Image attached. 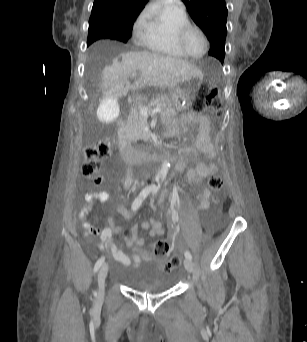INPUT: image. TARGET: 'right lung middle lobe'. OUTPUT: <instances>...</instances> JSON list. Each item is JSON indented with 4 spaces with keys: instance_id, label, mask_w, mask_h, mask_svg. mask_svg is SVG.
Listing matches in <instances>:
<instances>
[{
    "instance_id": "obj_1",
    "label": "right lung middle lobe",
    "mask_w": 307,
    "mask_h": 342,
    "mask_svg": "<svg viewBox=\"0 0 307 342\" xmlns=\"http://www.w3.org/2000/svg\"><path fill=\"white\" fill-rule=\"evenodd\" d=\"M131 36V32H121V31H110L103 28L92 27L89 25V35L87 39V46H89L94 41L101 38H110L119 40L122 42H127Z\"/></svg>"
}]
</instances>
